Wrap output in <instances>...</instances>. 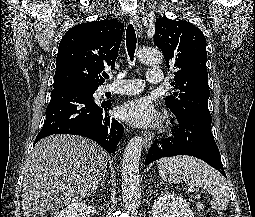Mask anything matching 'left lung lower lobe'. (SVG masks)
Returning a JSON list of instances; mask_svg holds the SVG:
<instances>
[{
    "label": "left lung lower lobe",
    "mask_w": 255,
    "mask_h": 217,
    "mask_svg": "<svg viewBox=\"0 0 255 217\" xmlns=\"http://www.w3.org/2000/svg\"><path fill=\"white\" fill-rule=\"evenodd\" d=\"M177 120L179 126L172 131L170 137L161 142L156 140L152 144L145 165L163 157L189 155L205 161L226 177L220 153L211 132L210 113L193 111Z\"/></svg>",
    "instance_id": "obj_1"
}]
</instances>
